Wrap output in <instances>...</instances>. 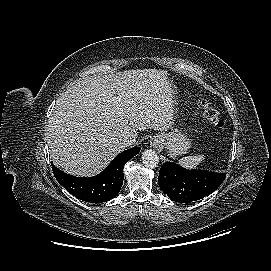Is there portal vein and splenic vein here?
<instances>
[{"label": "portal vein and splenic vein", "instance_id": "18ae733b", "mask_svg": "<svg viewBox=\"0 0 271 271\" xmlns=\"http://www.w3.org/2000/svg\"><path fill=\"white\" fill-rule=\"evenodd\" d=\"M115 100H116L117 102H120V101H121V98H120V97H117Z\"/></svg>", "mask_w": 271, "mask_h": 271}]
</instances>
